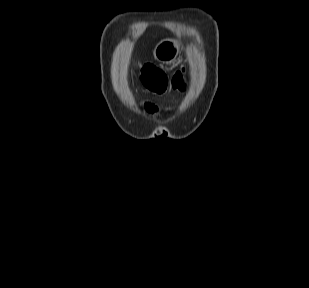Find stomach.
<instances>
[{
    "label": "stomach",
    "mask_w": 309,
    "mask_h": 288,
    "mask_svg": "<svg viewBox=\"0 0 309 288\" xmlns=\"http://www.w3.org/2000/svg\"><path fill=\"white\" fill-rule=\"evenodd\" d=\"M180 52V44L176 39L166 38L161 40L153 51L154 58L162 63H172Z\"/></svg>",
    "instance_id": "obj_1"
}]
</instances>
